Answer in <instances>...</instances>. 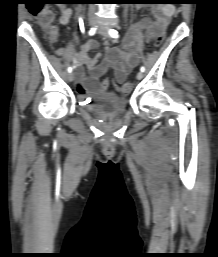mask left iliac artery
<instances>
[{"label": "left iliac artery", "mask_w": 218, "mask_h": 257, "mask_svg": "<svg viewBox=\"0 0 218 257\" xmlns=\"http://www.w3.org/2000/svg\"><path fill=\"white\" fill-rule=\"evenodd\" d=\"M109 35H110L112 38H119L118 32H117L116 30H114V29H109ZM140 70H141V72H144V71H145V67L142 66V67L140 68Z\"/></svg>", "instance_id": "1"}]
</instances>
